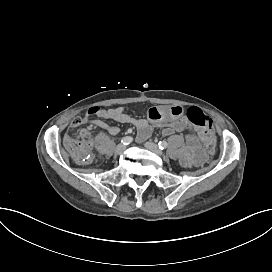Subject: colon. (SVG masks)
<instances>
[{
	"mask_svg": "<svg viewBox=\"0 0 272 272\" xmlns=\"http://www.w3.org/2000/svg\"><path fill=\"white\" fill-rule=\"evenodd\" d=\"M187 112V118L191 127L199 130L203 142L209 150L214 149L216 146L215 128L207 112L194 105L189 106ZM81 139L75 140L70 148L74 159L79 162L89 159L87 153L88 145L91 143L90 133H83Z\"/></svg>",
	"mask_w": 272,
	"mask_h": 272,
	"instance_id": "colon-1",
	"label": "colon"
}]
</instances>
